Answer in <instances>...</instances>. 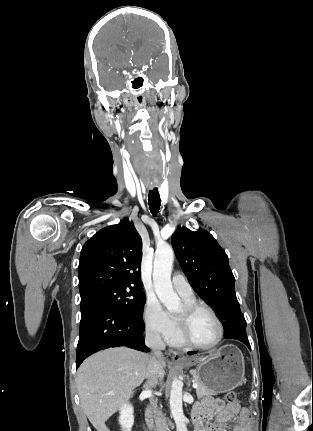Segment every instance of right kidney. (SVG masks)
<instances>
[{
  "label": "right kidney",
  "instance_id": "ca27d5eb",
  "mask_svg": "<svg viewBox=\"0 0 313 431\" xmlns=\"http://www.w3.org/2000/svg\"><path fill=\"white\" fill-rule=\"evenodd\" d=\"M134 409L131 404H123L120 408V416L119 423L123 429V431H131V428L134 423Z\"/></svg>",
  "mask_w": 313,
  "mask_h": 431
}]
</instances>
